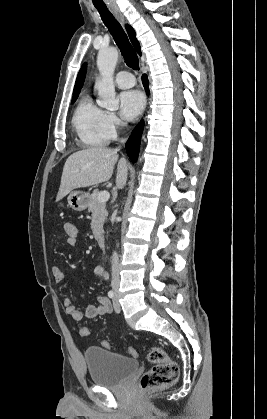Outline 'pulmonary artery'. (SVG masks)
Segmentation results:
<instances>
[{
  "label": "pulmonary artery",
  "mask_w": 267,
  "mask_h": 419,
  "mask_svg": "<svg viewBox=\"0 0 267 419\" xmlns=\"http://www.w3.org/2000/svg\"><path fill=\"white\" fill-rule=\"evenodd\" d=\"M115 83L120 88H130L135 85V78L130 72L121 71L117 73Z\"/></svg>",
  "instance_id": "1"
}]
</instances>
